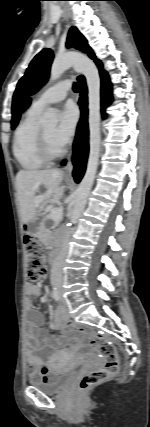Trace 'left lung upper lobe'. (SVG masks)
Returning <instances> with one entry per match:
<instances>
[{"instance_id":"left-lung-upper-lobe-1","label":"left lung upper lobe","mask_w":150,"mask_h":427,"mask_svg":"<svg viewBox=\"0 0 150 427\" xmlns=\"http://www.w3.org/2000/svg\"><path fill=\"white\" fill-rule=\"evenodd\" d=\"M67 47H75L76 49L88 53L89 57L95 61L97 60L91 48L88 46L87 40L76 27H72L69 31ZM52 60V50L48 48L43 49L34 57L25 75L19 80L13 95L12 129L18 124L22 103L25 97L34 94L46 83Z\"/></svg>"}]
</instances>
